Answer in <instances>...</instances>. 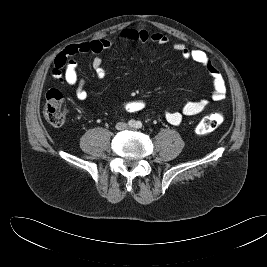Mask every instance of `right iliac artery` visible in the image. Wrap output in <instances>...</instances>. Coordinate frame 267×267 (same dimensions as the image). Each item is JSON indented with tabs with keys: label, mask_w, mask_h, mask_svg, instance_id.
<instances>
[{
	"label": "right iliac artery",
	"mask_w": 267,
	"mask_h": 267,
	"mask_svg": "<svg viewBox=\"0 0 267 267\" xmlns=\"http://www.w3.org/2000/svg\"><path fill=\"white\" fill-rule=\"evenodd\" d=\"M128 125H129L130 127H134V126L136 125V122H135L134 120H130V121L128 122Z\"/></svg>",
	"instance_id": "right-iliac-artery-1"
}]
</instances>
